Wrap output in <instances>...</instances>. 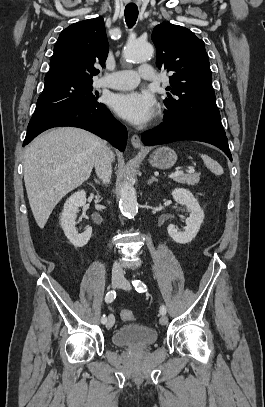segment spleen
I'll list each match as a JSON object with an SVG mask.
<instances>
[{"instance_id":"1","label":"spleen","mask_w":265,"mask_h":407,"mask_svg":"<svg viewBox=\"0 0 265 407\" xmlns=\"http://www.w3.org/2000/svg\"><path fill=\"white\" fill-rule=\"evenodd\" d=\"M201 158L205 164V166L210 169L215 175H222L223 174V168L219 165L218 162L213 160L211 157H209L206 154H201Z\"/></svg>"}]
</instances>
